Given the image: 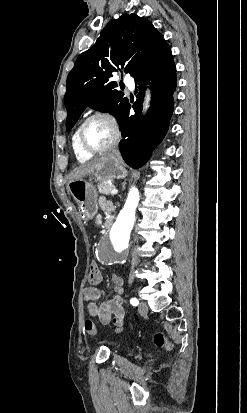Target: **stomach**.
Listing matches in <instances>:
<instances>
[{
    "label": "stomach",
    "instance_id": "stomach-1",
    "mask_svg": "<svg viewBox=\"0 0 247 413\" xmlns=\"http://www.w3.org/2000/svg\"><path fill=\"white\" fill-rule=\"evenodd\" d=\"M95 180H111V178H124L127 174L125 166L119 156L115 154H108L104 156L102 162L98 164L94 172H92ZM67 190L78 202V207L80 213L85 219H93L98 211V194L96 186L89 182V180H84V178H78V180H71L67 184Z\"/></svg>",
    "mask_w": 247,
    "mask_h": 413
}]
</instances>
